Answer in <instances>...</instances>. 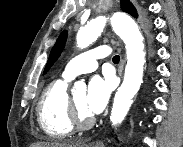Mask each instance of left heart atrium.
I'll list each match as a JSON object with an SVG mask.
<instances>
[{
  "mask_svg": "<svg viewBox=\"0 0 183 147\" xmlns=\"http://www.w3.org/2000/svg\"><path fill=\"white\" fill-rule=\"evenodd\" d=\"M113 83L110 78L93 77L88 85L85 108L90 115L101 113L106 107Z\"/></svg>",
  "mask_w": 183,
  "mask_h": 147,
  "instance_id": "39dd6f15",
  "label": "left heart atrium"
}]
</instances>
